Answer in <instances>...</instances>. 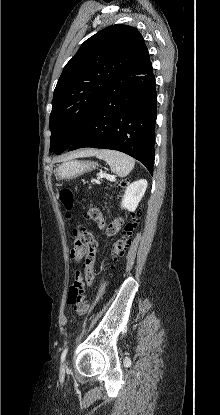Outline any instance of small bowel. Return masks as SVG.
Instances as JSON below:
<instances>
[{"label":"small bowel","mask_w":220,"mask_h":415,"mask_svg":"<svg viewBox=\"0 0 220 415\" xmlns=\"http://www.w3.org/2000/svg\"><path fill=\"white\" fill-rule=\"evenodd\" d=\"M73 310L76 312V313H78L79 315H82V314H80L75 308H73Z\"/></svg>","instance_id":"c3829d8e"}]
</instances>
